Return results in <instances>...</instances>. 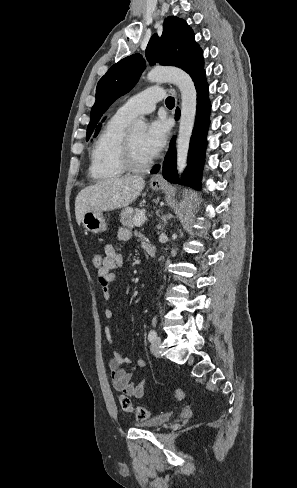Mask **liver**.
I'll list each match as a JSON object with an SVG mask.
<instances>
[{"mask_svg":"<svg viewBox=\"0 0 297 488\" xmlns=\"http://www.w3.org/2000/svg\"><path fill=\"white\" fill-rule=\"evenodd\" d=\"M145 186L141 176H124L107 179L82 189L75 200L78 223L87 211L103 212L130 205Z\"/></svg>","mask_w":297,"mask_h":488,"instance_id":"6515ba94","label":"liver"}]
</instances>
